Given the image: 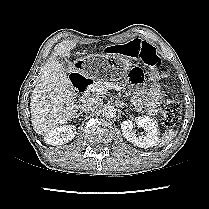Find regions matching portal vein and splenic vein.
Segmentation results:
<instances>
[{
	"label": "portal vein and splenic vein",
	"mask_w": 209,
	"mask_h": 209,
	"mask_svg": "<svg viewBox=\"0 0 209 209\" xmlns=\"http://www.w3.org/2000/svg\"><path fill=\"white\" fill-rule=\"evenodd\" d=\"M107 89H114L116 91H121L122 87L112 82H105L103 86L96 89V93L98 95H104L106 94Z\"/></svg>",
	"instance_id": "portal-vein-and-splenic-vein-1"
}]
</instances>
